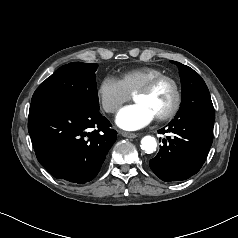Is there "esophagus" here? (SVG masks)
I'll return each instance as SVG.
<instances>
[{
	"instance_id": "esophagus-1",
	"label": "esophagus",
	"mask_w": 238,
	"mask_h": 238,
	"mask_svg": "<svg viewBox=\"0 0 238 238\" xmlns=\"http://www.w3.org/2000/svg\"><path fill=\"white\" fill-rule=\"evenodd\" d=\"M120 134L123 137H127V138H135V137H137V134L131 133V132H126V131H120Z\"/></svg>"
}]
</instances>
